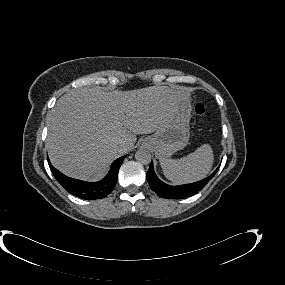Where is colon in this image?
<instances>
[{"instance_id":"obj_1","label":"colon","mask_w":285,"mask_h":285,"mask_svg":"<svg viewBox=\"0 0 285 285\" xmlns=\"http://www.w3.org/2000/svg\"><path fill=\"white\" fill-rule=\"evenodd\" d=\"M195 113L198 116H203L204 113H205V106L203 104H201V103L197 104L195 106Z\"/></svg>"}]
</instances>
